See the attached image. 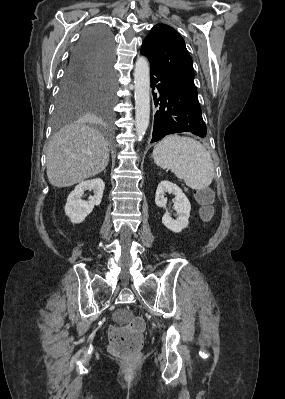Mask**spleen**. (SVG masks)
Wrapping results in <instances>:
<instances>
[{
    "instance_id": "3e777b00",
    "label": "spleen",
    "mask_w": 285,
    "mask_h": 399,
    "mask_svg": "<svg viewBox=\"0 0 285 399\" xmlns=\"http://www.w3.org/2000/svg\"><path fill=\"white\" fill-rule=\"evenodd\" d=\"M153 157L159 167L170 169L192 189L203 190L214 178L209 151L193 138L169 135L154 147Z\"/></svg>"
}]
</instances>
